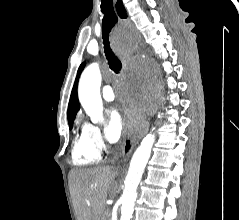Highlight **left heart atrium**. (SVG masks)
<instances>
[{"mask_svg": "<svg viewBox=\"0 0 239 220\" xmlns=\"http://www.w3.org/2000/svg\"><path fill=\"white\" fill-rule=\"evenodd\" d=\"M119 101L124 114L128 119L133 120L128 96L124 93L121 94ZM118 110L119 108H115L110 112L109 121L105 129V135L111 142H115L120 138L126 125L125 119L122 118Z\"/></svg>", "mask_w": 239, "mask_h": 220, "instance_id": "39dd6f15", "label": "left heart atrium"}]
</instances>
